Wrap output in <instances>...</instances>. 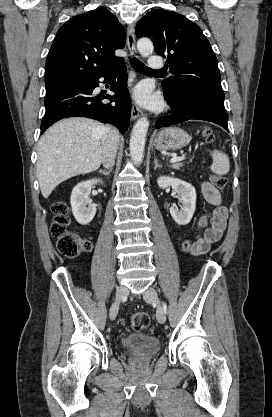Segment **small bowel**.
<instances>
[{
	"instance_id": "c3829d8e",
	"label": "small bowel",
	"mask_w": 272,
	"mask_h": 417,
	"mask_svg": "<svg viewBox=\"0 0 272 417\" xmlns=\"http://www.w3.org/2000/svg\"><path fill=\"white\" fill-rule=\"evenodd\" d=\"M201 192L205 200L215 206L212 212L201 215L197 221L196 230L205 229L202 240L192 249L193 255H201L206 253L211 244L219 241L226 228L228 212L222 205L219 191L209 182L201 183Z\"/></svg>"
}]
</instances>
